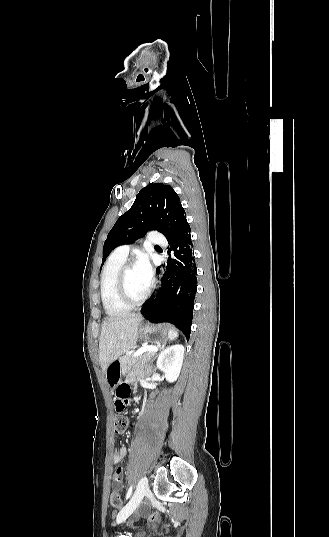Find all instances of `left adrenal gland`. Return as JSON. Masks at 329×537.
<instances>
[{
  "label": "left adrenal gland",
  "instance_id": "obj_1",
  "mask_svg": "<svg viewBox=\"0 0 329 537\" xmlns=\"http://www.w3.org/2000/svg\"><path fill=\"white\" fill-rule=\"evenodd\" d=\"M161 349H162V348H161ZM161 349H160V350H161ZM156 355H157V353H155V354L153 355V357L150 359L149 363H150L151 365H152L153 361L156 359ZM155 369H156V368L153 367V371H155Z\"/></svg>",
  "mask_w": 329,
  "mask_h": 537
}]
</instances>
